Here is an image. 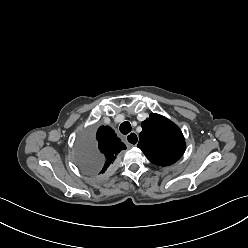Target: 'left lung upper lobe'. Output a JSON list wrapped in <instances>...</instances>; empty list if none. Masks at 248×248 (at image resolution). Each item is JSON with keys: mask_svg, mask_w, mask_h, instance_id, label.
<instances>
[{"mask_svg": "<svg viewBox=\"0 0 248 248\" xmlns=\"http://www.w3.org/2000/svg\"><path fill=\"white\" fill-rule=\"evenodd\" d=\"M138 147L154 164L168 166L184 153V136L177 125L164 116L152 113L142 122Z\"/></svg>", "mask_w": 248, "mask_h": 248, "instance_id": "left-lung-upper-lobe-1", "label": "left lung upper lobe"}]
</instances>
